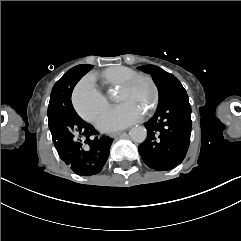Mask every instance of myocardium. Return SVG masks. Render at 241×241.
Wrapping results in <instances>:
<instances>
[{
	"instance_id": "myocardium-1",
	"label": "myocardium",
	"mask_w": 241,
	"mask_h": 241,
	"mask_svg": "<svg viewBox=\"0 0 241 241\" xmlns=\"http://www.w3.org/2000/svg\"><path fill=\"white\" fill-rule=\"evenodd\" d=\"M138 78H147V73L128 74L123 77L121 81V85L129 86L133 81L137 80ZM148 80H152V84L154 85L153 97H152L151 104H149V109H154V106H156V102L158 100V93H159L158 79H153V75H148Z\"/></svg>"
}]
</instances>
